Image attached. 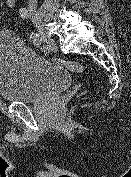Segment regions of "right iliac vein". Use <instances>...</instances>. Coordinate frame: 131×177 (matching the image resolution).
Wrapping results in <instances>:
<instances>
[{
	"mask_svg": "<svg viewBox=\"0 0 131 177\" xmlns=\"http://www.w3.org/2000/svg\"><path fill=\"white\" fill-rule=\"evenodd\" d=\"M29 15H30L31 21L33 22V24L37 28L42 40L44 42H47V43L53 45L54 39L43 28L42 22H41V16L38 14L37 10L34 8L29 9Z\"/></svg>",
	"mask_w": 131,
	"mask_h": 177,
	"instance_id": "right-iliac-vein-1",
	"label": "right iliac vein"
}]
</instances>
